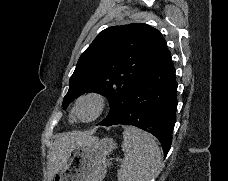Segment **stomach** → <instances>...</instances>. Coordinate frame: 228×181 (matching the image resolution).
<instances>
[{"label":"stomach","mask_w":228,"mask_h":181,"mask_svg":"<svg viewBox=\"0 0 228 181\" xmlns=\"http://www.w3.org/2000/svg\"><path fill=\"white\" fill-rule=\"evenodd\" d=\"M113 149H116V143L108 137H94L91 145L74 147L53 181H103L107 173V155Z\"/></svg>","instance_id":"1"}]
</instances>
